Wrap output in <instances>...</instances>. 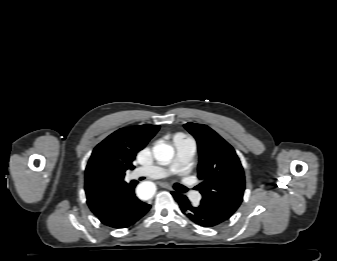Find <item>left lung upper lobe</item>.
I'll return each mask as SVG.
<instances>
[{
  "instance_id": "obj_1",
  "label": "left lung upper lobe",
  "mask_w": 337,
  "mask_h": 261,
  "mask_svg": "<svg viewBox=\"0 0 337 261\" xmlns=\"http://www.w3.org/2000/svg\"><path fill=\"white\" fill-rule=\"evenodd\" d=\"M184 127L198 145V177L202 180L200 205L229 219L240 206L245 190L240 160L233 147L210 127L191 122Z\"/></svg>"
}]
</instances>
